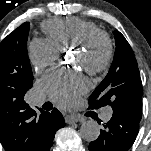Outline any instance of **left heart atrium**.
<instances>
[{"label": "left heart atrium", "mask_w": 151, "mask_h": 151, "mask_svg": "<svg viewBox=\"0 0 151 151\" xmlns=\"http://www.w3.org/2000/svg\"><path fill=\"white\" fill-rule=\"evenodd\" d=\"M42 86L56 103L67 107L86 92L88 82L81 74L55 70L43 77Z\"/></svg>", "instance_id": "left-heart-atrium-1"}]
</instances>
